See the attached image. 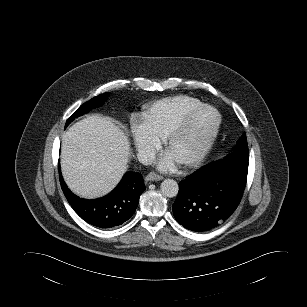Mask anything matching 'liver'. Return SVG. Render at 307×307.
I'll use <instances>...</instances> for the list:
<instances>
[{"label":"liver","instance_id":"liver-1","mask_svg":"<svg viewBox=\"0 0 307 307\" xmlns=\"http://www.w3.org/2000/svg\"><path fill=\"white\" fill-rule=\"evenodd\" d=\"M129 155L128 137L108 117L88 116L62 135V175L80 197L109 193L126 172Z\"/></svg>","mask_w":307,"mask_h":307}]
</instances>
